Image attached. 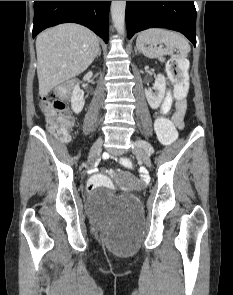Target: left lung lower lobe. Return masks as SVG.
Returning a JSON list of instances; mask_svg holds the SVG:
<instances>
[{
  "label": "left lung lower lobe",
  "instance_id": "obj_1",
  "mask_svg": "<svg viewBox=\"0 0 233 295\" xmlns=\"http://www.w3.org/2000/svg\"><path fill=\"white\" fill-rule=\"evenodd\" d=\"M126 27L129 39L144 29L163 27L183 33L196 46L194 1H127Z\"/></svg>",
  "mask_w": 233,
  "mask_h": 295
}]
</instances>
